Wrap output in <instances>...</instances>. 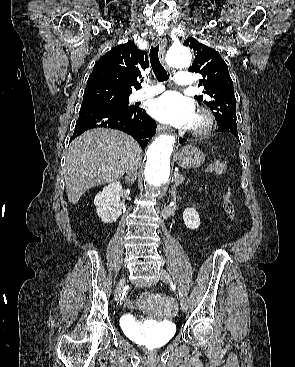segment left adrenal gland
Here are the masks:
<instances>
[{
  "instance_id": "obj_1",
  "label": "left adrenal gland",
  "mask_w": 295,
  "mask_h": 367,
  "mask_svg": "<svg viewBox=\"0 0 295 367\" xmlns=\"http://www.w3.org/2000/svg\"><path fill=\"white\" fill-rule=\"evenodd\" d=\"M175 190H176V186L174 185V186L172 187V191H173V192H175Z\"/></svg>"
}]
</instances>
